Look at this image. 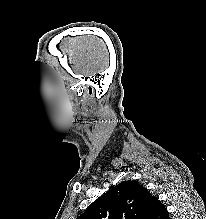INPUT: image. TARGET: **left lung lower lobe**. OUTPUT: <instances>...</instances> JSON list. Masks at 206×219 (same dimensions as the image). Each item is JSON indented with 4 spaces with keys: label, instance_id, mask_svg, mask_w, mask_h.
Listing matches in <instances>:
<instances>
[{
    "label": "left lung lower lobe",
    "instance_id": "1",
    "mask_svg": "<svg viewBox=\"0 0 206 219\" xmlns=\"http://www.w3.org/2000/svg\"><path fill=\"white\" fill-rule=\"evenodd\" d=\"M147 219H170L167 209L156 197L152 199L151 212Z\"/></svg>",
    "mask_w": 206,
    "mask_h": 219
}]
</instances>
